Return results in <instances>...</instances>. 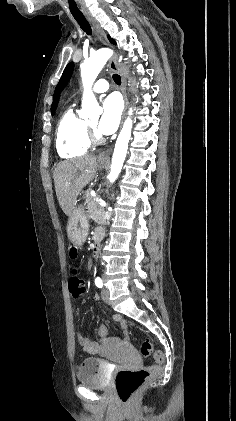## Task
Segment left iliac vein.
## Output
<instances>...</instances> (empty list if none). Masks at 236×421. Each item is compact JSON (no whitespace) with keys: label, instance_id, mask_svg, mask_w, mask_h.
Returning a JSON list of instances; mask_svg holds the SVG:
<instances>
[{"label":"left iliac vein","instance_id":"obj_1","mask_svg":"<svg viewBox=\"0 0 236 421\" xmlns=\"http://www.w3.org/2000/svg\"><path fill=\"white\" fill-rule=\"evenodd\" d=\"M109 295H110L109 290L106 288H103L101 291V296H102L103 301L108 304H110Z\"/></svg>","mask_w":236,"mask_h":421}]
</instances>
